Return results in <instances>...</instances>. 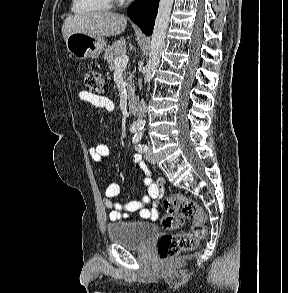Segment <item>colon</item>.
<instances>
[{
	"instance_id": "1",
	"label": "colon",
	"mask_w": 288,
	"mask_h": 293,
	"mask_svg": "<svg viewBox=\"0 0 288 293\" xmlns=\"http://www.w3.org/2000/svg\"><path fill=\"white\" fill-rule=\"evenodd\" d=\"M84 83L89 92L100 93L104 87L102 75L95 70H88L84 75ZM165 215L161 225L166 230L181 227L185 218L193 222L191 231L176 235L164 234L157 243L159 258L169 260L183 250L194 249L206 235L205 214L192 199L182 194H174L164 202ZM181 211V212H179Z\"/></svg>"
}]
</instances>
